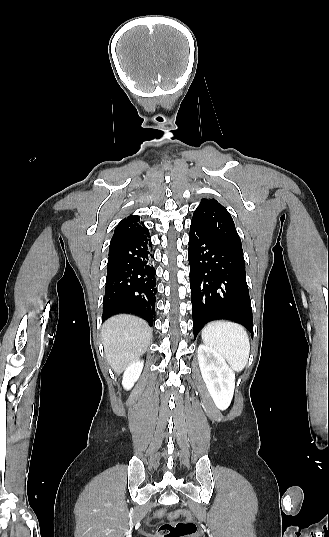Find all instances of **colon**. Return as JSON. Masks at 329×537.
<instances>
[{"mask_svg": "<svg viewBox=\"0 0 329 537\" xmlns=\"http://www.w3.org/2000/svg\"><path fill=\"white\" fill-rule=\"evenodd\" d=\"M154 516L162 520L171 518L170 521L163 523L158 528V537H193L197 533V526L188 510L179 509L170 513V511L162 509L156 511Z\"/></svg>", "mask_w": 329, "mask_h": 537, "instance_id": "obj_1", "label": "colon"}]
</instances>
